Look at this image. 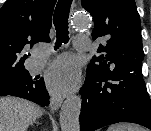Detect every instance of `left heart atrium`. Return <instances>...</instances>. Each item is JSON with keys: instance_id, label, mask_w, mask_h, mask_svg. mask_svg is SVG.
Here are the masks:
<instances>
[{"instance_id": "39dd6f15", "label": "left heart atrium", "mask_w": 151, "mask_h": 131, "mask_svg": "<svg viewBox=\"0 0 151 131\" xmlns=\"http://www.w3.org/2000/svg\"><path fill=\"white\" fill-rule=\"evenodd\" d=\"M46 80L53 94L64 95L76 87L79 80L78 67L70 57H62L50 67Z\"/></svg>"}]
</instances>
